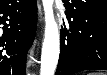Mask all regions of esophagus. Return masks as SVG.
I'll return each instance as SVG.
<instances>
[{
	"label": "esophagus",
	"instance_id": "1",
	"mask_svg": "<svg viewBox=\"0 0 107 75\" xmlns=\"http://www.w3.org/2000/svg\"><path fill=\"white\" fill-rule=\"evenodd\" d=\"M39 15H40V21L43 20V12L41 6H39Z\"/></svg>",
	"mask_w": 107,
	"mask_h": 75
}]
</instances>
